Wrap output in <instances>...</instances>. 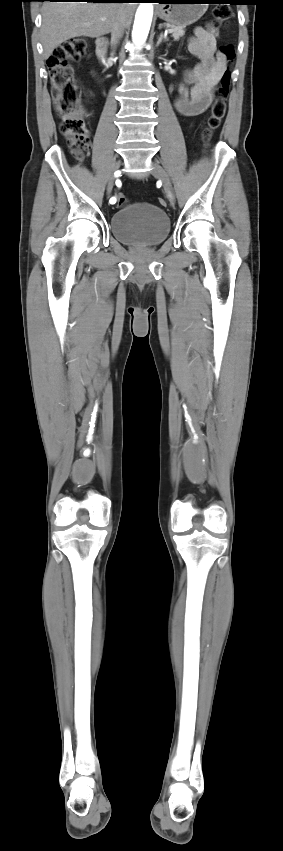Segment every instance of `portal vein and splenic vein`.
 <instances>
[{
	"label": "portal vein and splenic vein",
	"instance_id": "1",
	"mask_svg": "<svg viewBox=\"0 0 283 851\" xmlns=\"http://www.w3.org/2000/svg\"><path fill=\"white\" fill-rule=\"evenodd\" d=\"M104 19H105V18H102V20H104ZM168 32H169V33H172V30H171V29H169V30H168Z\"/></svg>",
	"mask_w": 283,
	"mask_h": 851
}]
</instances>
